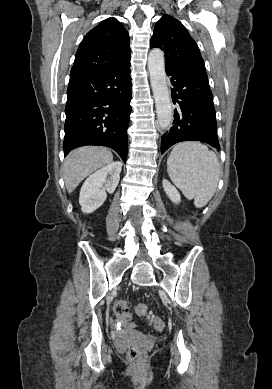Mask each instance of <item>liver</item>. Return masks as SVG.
Segmentation results:
<instances>
[{
    "label": "liver",
    "instance_id": "1",
    "mask_svg": "<svg viewBox=\"0 0 272 389\" xmlns=\"http://www.w3.org/2000/svg\"><path fill=\"white\" fill-rule=\"evenodd\" d=\"M113 161L111 151L104 147L83 146L72 151L63 164V178L69 193L94 171Z\"/></svg>",
    "mask_w": 272,
    "mask_h": 389
}]
</instances>
